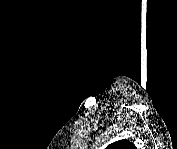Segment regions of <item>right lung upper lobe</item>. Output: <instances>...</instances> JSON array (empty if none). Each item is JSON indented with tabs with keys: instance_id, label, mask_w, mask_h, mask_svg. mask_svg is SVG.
<instances>
[{
	"instance_id": "cb5924a9",
	"label": "right lung upper lobe",
	"mask_w": 177,
	"mask_h": 149,
	"mask_svg": "<svg viewBox=\"0 0 177 149\" xmlns=\"http://www.w3.org/2000/svg\"><path fill=\"white\" fill-rule=\"evenodd\" d=\"M127 149V148H134L133 144L128 142L127 140H119L112 144H110L107 149Z\"/></svg>"
}]
</instances>
